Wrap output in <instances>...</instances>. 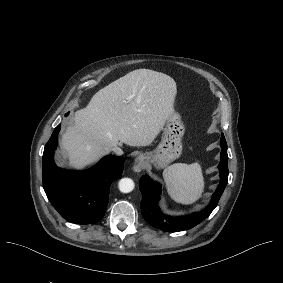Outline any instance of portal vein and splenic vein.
<instances>
[{"label":"portal vein and splenic vein","instance_id":"obj_1","mask_svg":"<svg viewBox=\"0 0 283 283\" xmlns=\"http://www.w3.org/2000/svg\"><path fill=\"white\" fill-rule=\"evenodd\" d=\"M132 99V96L130 95V96H127V97H125V99H124V103L125 104H127L128 102H129V100H131Z\"/></svg>","mask_w":283,"mask_h":283}]
</instances>
